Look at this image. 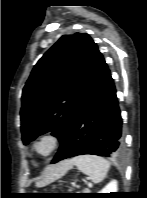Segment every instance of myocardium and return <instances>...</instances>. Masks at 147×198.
Returning <instances> with one entry per match:
<instances>
[{
	"instance_id": "f54148a6",
	"label": "myocardium",
	"mask_w": 147,
	"mask_h": 198,
	"mask_svg": "<svg viewBox=\"0 0 147 198\" xmlns=\"http://www.w3.org/2000/svg\"><path fill=\"white\" fill-rule=\"evenodd\" d=\"M43 143L48 144V148L46 151H41L40 146ZM60 137L54 131H45L39 134L32 143V149L34 153L43 159L49 158L52 156L60 147Z\"/></svg>"
}]
</instances>
